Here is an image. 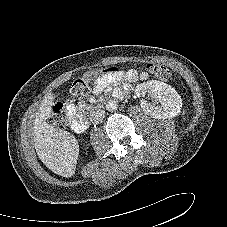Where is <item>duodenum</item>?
Wrapping results in <instances>:
<instances>
[{
    "label": "duodenum",
    "mask_w": 227,
    "mask_h": 227,
    "mask_svg": "<svg viewBox=\"0 0 227 227\" xmlns=\"http://www.w3.org/2000/svg\"><path fill=\"white\" fill-rule=\"evenodd\" d=\"M68 117L71 120L72 127L76 132L80 133L88 129L89 127L88 120L85 117L78 115L73 107L69 108Z\"/></svg>",
    "instance_id": "duodenum-1"
}]
</instances>
